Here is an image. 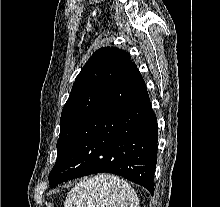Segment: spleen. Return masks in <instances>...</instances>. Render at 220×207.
I'll use <instances>...</instances> for the list:
<instances>
[{"label":"spleen","instance_id":"3e777b00","mask_svg":"<svg viewBox=\"0 0 220 207\" xmlns=\"http://www.w3.org/2000/svg\"><path fill=\"white\" fill-rule=\"evenodd\" d=\"M65 207H139L135 190L111 174L85 178L68 193Z\"/></svg>","mask_w":220,"mask_h":207}]
</instances>
